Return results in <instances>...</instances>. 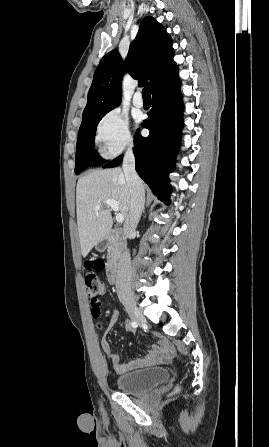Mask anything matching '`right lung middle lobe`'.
I'll return each mask as SVG.
<instances>
[{"instance_id":"dd1d6c3e","label":"right lung middle lobe","mask_w":269,"mask_h":447,"mask_svg":"<svg viewBox=\"0 0 269 447\" xmlns=\"http://www.w3.org/2000/svg\"><path fill=\"white\" fill-rule=\"evenodd\" d=\"M101 119L102 117L79 129L75 156L76 173L81 172L88 166H100L105 162L94 150L96 127Z\"/></svg>"}]
</instances>
